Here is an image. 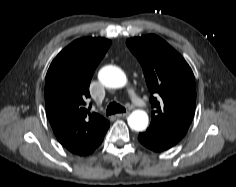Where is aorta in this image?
<instances>
[{
    "label": "aorta",
    "mask_w": 236,
    "mask_h": 187,
    "mask_svg": "<svg viewBox=\"0 0 236 187\" xmlns=\"http://www.w3.org/2000/svg\"><path fill=\"white\" fill-rule=\"evenodd\" d=\"M99 81L108 88H122L127 84L125 73L118 67L108 65L98 73ZM148 115L143 110H135L128 117V125L135 131H143L148 126Z\"/></svg>",
    "instance_id": "aorta-1"
}]
</instances>
